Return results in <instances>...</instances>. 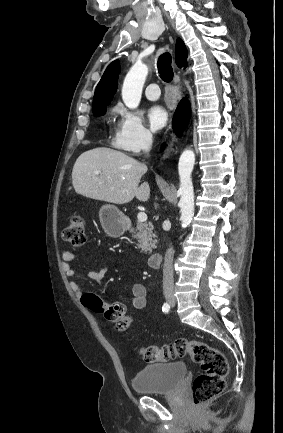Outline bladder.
<instances>
[{
    "instance_id": "bladder-1",
    "label": "bladder",
    "mask_w": 283,
    "mask_h": 433,
    "mask_svg": "<svg viewBox=\"0 0 283 433\" xmlns=\"http://www.w3.org/2000/svg\"><path fill=\"white\" fill-rule=\"evenodd\" d=\"M185 374L184 362L145 366L140 372L135 374L131 385L136 390V393L176 391Z\"/></svg>"
}]
</instances>
